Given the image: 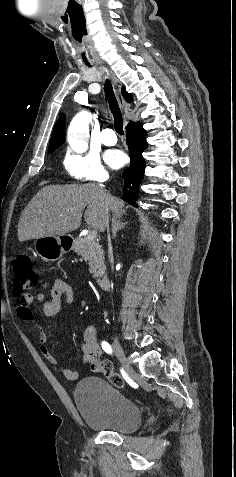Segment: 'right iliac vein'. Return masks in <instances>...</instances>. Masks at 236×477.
<instances>
[{
  "instance_id": "right-iliac-vein-1",
  "label": "right iliac vein",
  "mask_w": 236,
  "mask_h": 477,
  "mask_svg": "<svg viewBox=\"0 0 236 477\" xmlns=\"http://www.w3.org/2000/svg\"><path fill=\"white\" fill-rule=\"evenodd\" d=\"M113 348H114L115 353L118 356L119 360L121 361L124 369L126 370V372L129 375H132L134 373V370H133L132 366L129 364V362H128L126 356H125L122 345L120 344V342L116 338H114V341H113Z\"/></svg>"
}]
</instances>
